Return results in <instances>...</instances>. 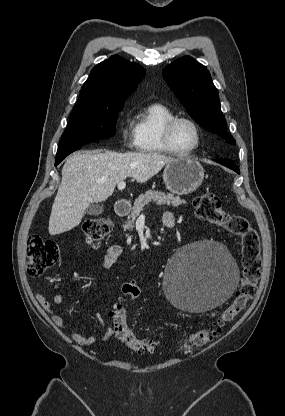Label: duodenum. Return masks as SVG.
<instances>
[{
  "label": "duodenum",
  "instance_id": "1",
  "mask_svg": "<svg viewBox=\"0 0 285 416\" xmlns=\"http://www.w3.org/2000/svg\"><path fill=\"white\" fill-rule=\"evenodd\" d=\"M132 200L130 197H118L115 204V212L118 216H125L130 212V205ZM164 224L166 226L172 225L171 219H165Z\"/></svg>",
  "mask_w": 285,
  "mask_h": 416
}]
</instances>
